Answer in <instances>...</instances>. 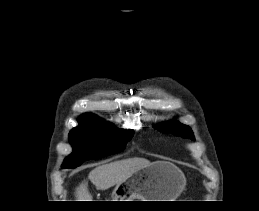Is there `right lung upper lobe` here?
Returning a JSON list of instances; mask_svg holds the SVG:
<instances>
[{"instance_id": "right-lung-upper-lobe-1", "label": "right lung upper lobe", "mask_w": 259, "mask_h": 211, "mask_svg": "<svg viewBox=\"0 0 259 211\" xmlns=\"http://www.w3.org/2000/svg\"><path fill=\"white\" fill-rule=\"evenodd\" d=\"M79 118H96L99 119L97 116L93 115V114H84L82 116H80Z\"/></svg>"}]
</instances>
